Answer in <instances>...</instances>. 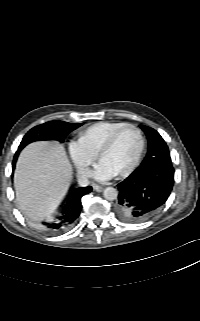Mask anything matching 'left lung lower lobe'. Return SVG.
Returning <instances> with one entry per match:
<instances>
[{
	"label": "left lung lower lobe",
	"mask_w": 200,
	"mask_h": 321,
	"mask_svg": "<svg viewBox=\"0 0 200 321\" xmlns=\"http://www.w3.org/2000/svg\"><path fill=\"white\" fill-rule=\"evenodd\" d=\"M174 184L172 164L141 165L118 184L116 213L126 223L148 219L168 199Z\"/></svg>",
	"instance_id": "left-lung-lower-lobe-1"
}]
</instances>
